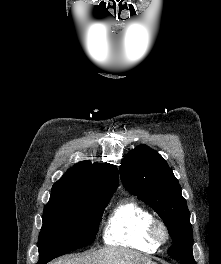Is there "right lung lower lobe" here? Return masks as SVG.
Wrapping results in <instances>:
<instances>
[{"mask_svg": "<svg viewBox=\"0 0 221 264\" xmlns=\"http://www.w3.org/2000/svg\"><path fill=\"white\" fill-rule=\"evenodd\" d=\"M37 264H43V263L38 262Z\"/></svg>", "mask_w": 221, "mask_h": 264, "instance_id": "98d812e1", "label": "right lung lower lobe"}]
</instances>
